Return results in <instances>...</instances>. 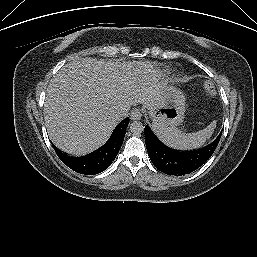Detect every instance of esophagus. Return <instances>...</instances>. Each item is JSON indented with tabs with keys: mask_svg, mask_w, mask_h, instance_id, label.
Listing matches in <instances>:
<instances>
[{
	"mask_svg": "<svg viewBox=\"0 0 257 257\" xmlns=\"http://www.w3.org/2000/svg\"><path fill=\"white\" fill-rule=\"evenodd\" d=\"M142 117V111L138 108L132 110L130 118L131 120H140Z\"/></svg>",
	"mask_w": 257,
	"mask_h": 257,
	"instance_id": "obj_1",
	"label": "esophagus"
}]
</instances>
